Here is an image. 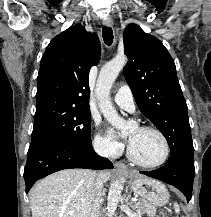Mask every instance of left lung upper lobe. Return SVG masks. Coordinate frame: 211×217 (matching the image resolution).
I'll use <instances>...</instances> for the list:
<instances>
[{
  "label": "left lung upper lobe",
  "mask_w": 211,
  "mask_h": 217,
  "mask_svg": "<svg viewBox=\"0 0 211 217\" xmlns=\"http://www.w3.org/2000/svg\"><path fill=\"white\" fill-rule=\"evenodd\" d=\"M124 52L123 73L140 111L165 136L170 155L194 156L188 108L165 46L131 23L124 31Z\"/></svg>",
  "instance_id": "left-lung-upper-lobe-1"
}]
</instances>
